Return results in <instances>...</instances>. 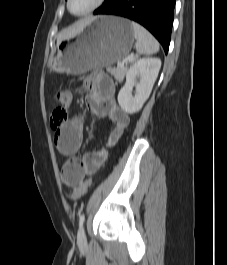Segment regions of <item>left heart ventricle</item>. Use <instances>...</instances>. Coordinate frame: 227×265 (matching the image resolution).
Returning a JSON list of instances; mask_svg holds the SVG:
<instances>
[{
    "instance_id": "obj_1",
    "label": "left heart ventricle",
    "mask_w": 227,
    "mask_h": 265,
    "mask_svg": "<svg viewBox=\"0 0 227 265\" xmlns=\"http://www.w3.org/2000/svg\"><path fill=\"white\" fill-rule=\"evenodd\" d=\"M96 0H71L70 8L75 13H80L90 8Z\"/></svg>"
}]
</instances>
